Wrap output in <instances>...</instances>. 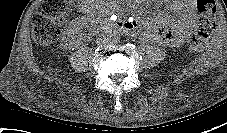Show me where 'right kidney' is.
<instances>
[{
    "instance_id": "1",
    "label": "right kidney",
    "mask_w": 227,
    "mask_h": 133,
    "mask_svg": "<svg viewBox=\"0 0 227 133\" xmlns=\"http://www.w3.org/2000/svg\"><path fill=\"white\" fill-rule=\"evenodd\" d=\"M82 20L80 19H75V20H72L70 22V24L68 25V28L66 29V35L63 39L64 42H67L69 40H75L77 37H78V33L81 31V28H82ZM71 42V41H70ZM68 45V43H66Z\"/></svg>"
}]
</instances>
